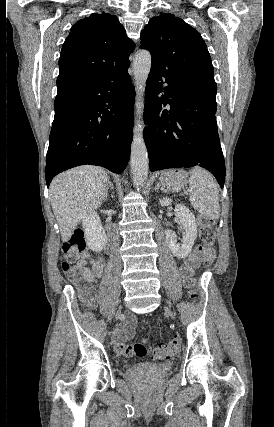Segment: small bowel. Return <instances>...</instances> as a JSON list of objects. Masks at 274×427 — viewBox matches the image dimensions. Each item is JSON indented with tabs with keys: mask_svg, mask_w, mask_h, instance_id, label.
Here are the masks:
<instances>
[{
	"mask_svg": "<svg viewBox=\"0 0 274 427\" xmlns=\"http://www.w3.org/2000/svg\"><path fill=\"white\" fill-rule=\"evenodd\" d=\"M105 259L97 253L94 257L88 250H84L80 254V259L77 262V267L84 274V276L91 282H97L104 271ZM90 266V268L88 267ZM136 325V318L133 315H128L125 319L122 328L118 329L114 334V341L129 340L134 337V327Z\"/></svg>",
	"mask_w": 274,
	"mask_h": 427,
	"instance_id": "1",
	"label": "small bowel"
}]
</instances>
